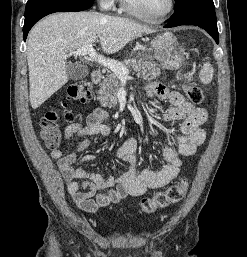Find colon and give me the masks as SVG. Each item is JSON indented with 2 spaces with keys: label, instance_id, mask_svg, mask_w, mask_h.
<instances>
[{
  "label": "colon",
  "instance_id": "colon-1",
  "mask_svg": "<svg viewBox=\"0 0 247 257\" xmlns=\"http://www.w3.org/2000/svg\"><path fill=\"white\" fill-rule=\"evenodd\" d=\"M184 92L188 99L194 104H201L204 100L203 92L200 88L194 85L185 84ZM92 95L91 84L87 81H76L68 86L66 93L67 101L87 102ZM59 114H63L67 121H72L75 116L72 112L66 110V102H63L59 107L47 111L41 118V137L49 149H57L61 143V130L58 123ZM188 183L182 180L180 183L170 186L166 190L158 191L154 196L144 198L141 201V211L144 214H151L157 209L180 202L186 195Z\"/></svg>",
  "mask_w": 247,
  "mask_h": 257
}]
</instances>
